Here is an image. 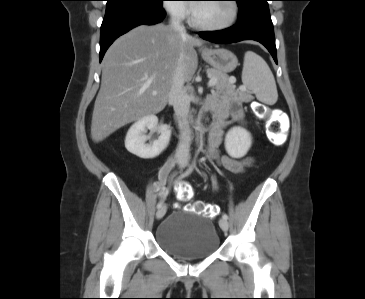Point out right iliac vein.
<instances>
[{"mask_svg": "<svg viewBox=\"0 0 365 299\" xmlns=\"http://www.w3.org/2000/svg\"><path fill=\"white\" fill-rule=\"evenodd\" d=\"M181 166L183 167V166H184V163H181ZM166 210H167V207H166L165 205L161 206V207L158 209L157 213H156V217H157V219H161V218H163V216H164V215H165V213H166Z\"/></svg>", "mask_w": 365, "mask_h": 299, "instance_id": "1", "label": "right iliac vein"}]
</instances>
